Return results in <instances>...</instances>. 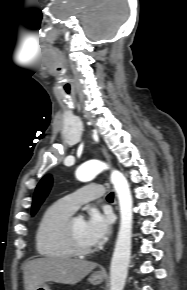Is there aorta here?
<instances>
[{
    "label": "aorta",
    "mask_w": 187,
    "mask_h": 290,
    "mask_svg": "<svg viewBox=\"0 0 187 290\" xmlns=\"http://www.w3.org/2000/svg\"><path fill=\"white\" fill-rule=\"evenodd\" d=\"M104 168L101 161L91 160L77 169L76 177L81 182H89ZM111 182L119 201L120 227L110 265V290H123L131 256L133 200L128 181L122 173L113 171Z\"/></svg>",
    "instance_id": "1"
}]
</instances>
